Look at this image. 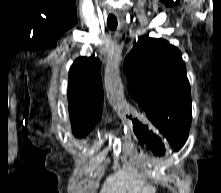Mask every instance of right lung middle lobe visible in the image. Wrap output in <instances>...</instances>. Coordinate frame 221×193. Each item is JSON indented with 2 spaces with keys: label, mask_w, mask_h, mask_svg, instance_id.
<instances>
[{
  "label": "right lung middle lobe",
  "mask_w": 221,
  "mask_h": 193,
  "mask_svg": "<svg viewBox=\"0 0 221 193\" xmlns=\"http://www.w3.org/2000/svg\"><path fill=\"white\" fill-rule=\"evenodd\" d=\"M96 123H97V121L94 122L93 124H91L90 126H85L83 128H79L76 132H73V133L77 137H83L86 134H88L94 128Z\"/></svg>",
  "instance_id": "1"
}]
</instances>
